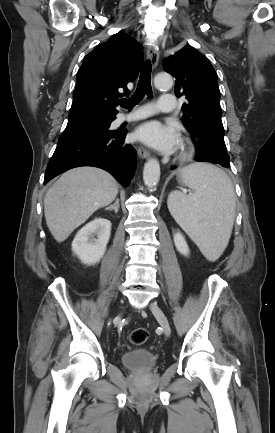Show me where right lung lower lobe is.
<instances>
[{"label":"right lung lower lobe","mask_w":275,"mask_h":433,"mask_svg":"<svg viewBox=\"0 0 275 433\" xmlns=\"http://www.w3.org/2000/svg\"><path fill=\"white\" fill-rule=\"evenodd\" d=\"M126 134L127 130L93 128L63 132L46 168L44 184L69 169L95 166L127 187L136 169V155L133 147L124 143Z\"/></svg>","instance_id":"98d812e1"}]
</instances>
